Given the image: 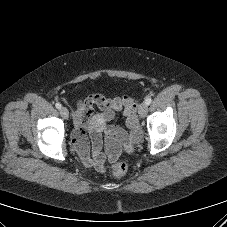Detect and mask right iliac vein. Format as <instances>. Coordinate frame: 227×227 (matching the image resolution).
Returning <instances> with one entry per match:
<instances>
[{"instance_id":"obj_1","label":"right iliac vein","mask_w":227,"mask_h":227,"mask_svg":"<svg viewBox=\"0 0 227 227\" xmlns=\"http://www.w3.org/2000/svg\"><path fill=\"white\" fill-rule=\"evenodd\" d=\"M60 114H61V116H62L64 119H68V118H69V112H68L67 108H65V107H62V108L60 109Z\"/></svg>"}]
</instances>
